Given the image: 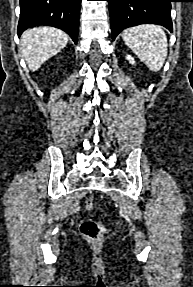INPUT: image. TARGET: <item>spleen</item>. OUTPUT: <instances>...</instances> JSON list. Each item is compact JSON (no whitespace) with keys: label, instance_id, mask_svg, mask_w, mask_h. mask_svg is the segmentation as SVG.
Returning <instances> with one entry per match:
<instances>
[{"label":"spleen","instance_id":"spleen-1","mask_svg":"<svg viewBox=\"0 0 193 287\" xmlns=\"http://www.w3.org/2000/svg\"><path fill=\"white\" fill-rule=\"evenodd\" d=\"M125 44L151 70L159 71L167 57V37L159 25H139L122 32Z\"/></svg>","mask_w":193,"mask_h":287}]
</instances>
